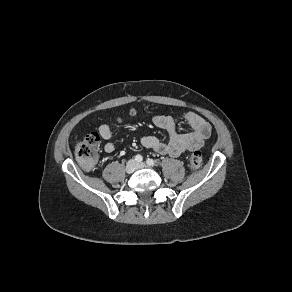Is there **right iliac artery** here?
I'll return each instance as SVG.
<instances>
[{
	"label": "right iliac artery",
	"mask_w": 292,
	"mask_h": 292,
	"mask_svg": "<svg viewBox=\"0 0 292 292\" xmlns=\"http://www.w3.org/2000/svg\"><path fill=\"white\" fill-rule=\"evenodd\" d=\"M142 160H143V157L141 155L138 154L135 156V161L141 162Z\"/></svg>",
	"instance_id": "82829eb1"
}]
</instances>
